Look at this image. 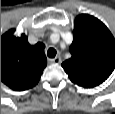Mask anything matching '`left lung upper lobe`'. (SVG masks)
<instances>
[{"label": "left lung upper lobe", "mask_w": 115, "mask_h": 114, "mask_svg": "<svg viewBox=\"0 0 115 114\" xmlns=\"http://www.w3.org/2000/svg\"><path fill=\"white\" fill-rule=\"evenodd\" d=\"M72 57L62 63L70 80L92 88L103 83L115 68V39L97 18L81 14L75 18Z\"/></svg>", "instance_id": "left-lung-upper-lobe-1"}]
</instances>
